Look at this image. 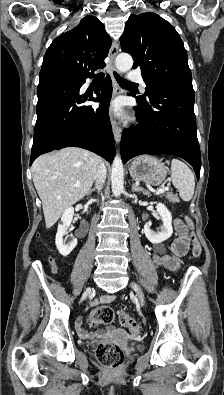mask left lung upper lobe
I'll return each mask as SVG.
<instances>
[{
  "mask_svg": "<svg viewBox=\"0 0 224 395\" xmlns=\"http://www.w3.org/2000/svg\"><path fill=\"white\" fill-rule=\"evenodd\" d=\"M122 51L141 69L150 98L162 89L192 90L187 52L175 28L155 13L131 15L120 38ZM147 97V98H146Z\"/></svg>",
  "mask_w": 224,
  "mask_h": 395,
  "instance_id": "5c2ea615",
  "label": "left lung upper lobe"
}]
</instances>
